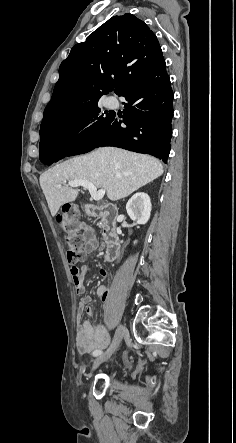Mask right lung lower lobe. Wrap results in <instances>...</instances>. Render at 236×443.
Returning <instances> with one entry per match:
<instances>
[{
    "label": "right lung lower lobe",
    "mask_w": 236,
    "mask_h": 443,
    "mask_svg": "<svg viewBox=\"0 0 236 443\" xmlns=\"http://www.w3.org/2000/svg\"><path fill=\"white\" fill-rule=\"evenodd\" d=\"M119 96L127 101L123 116H119L121 119L112 112L103 123L71 145L40 148L41 162L50 165L65 156L86 153L99 146H116L150 154L167 163L174 96L164 58Z\"/></svg>",
    "instance_id": "98d812e1"
}]
</instances>
